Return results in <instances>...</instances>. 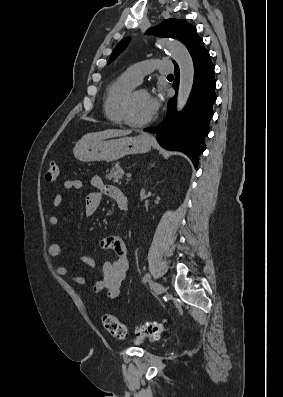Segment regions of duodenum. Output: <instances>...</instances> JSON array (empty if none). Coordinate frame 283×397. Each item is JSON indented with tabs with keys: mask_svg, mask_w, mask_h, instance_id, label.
Segmentation results:
<instances>
[{
	"mask_svg": "<svg viewBox=\"0 0 283 397\" xmlns=\"http://www.w3.org/2000/svg\"><path fill=\"white\" fill-rule=\"evenodd\" d=\"M121 209L122 210H127L128 209V204L127 203L122 204Z\"/></svg>",
	"mask_w": 283,
	"mask_h": 397,
	"instance_id": "duodenum-1",
	"label": "duodenum"
}]
</instances>
